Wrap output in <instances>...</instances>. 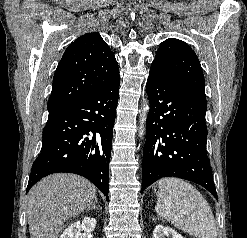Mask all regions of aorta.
Listing matches in <instances>:
<instances>
[{
  "label": "aorta",
  "instance_id": "762f6f07",
  "mask_svg": "<svg viewBox=\"0 0 247 238\" xmlns=\"http://www.w3.org/2000/svg\"><path fill=\"white\" fill-rule=\"evenodd\" d=\"M148 109H149L148 106L144 105L143 110H142V115H141V124L142 125H143L144 121L146 120V113H147ZM141 128H142V126H141ZM140 134L141 135L143 134V130H142V132Z\"/></svg>",
  "mask_w": 247,
  "mask_h": 238
}]
</instances>
